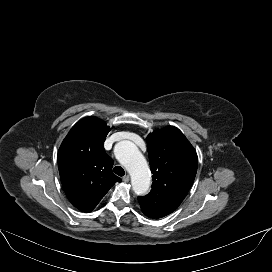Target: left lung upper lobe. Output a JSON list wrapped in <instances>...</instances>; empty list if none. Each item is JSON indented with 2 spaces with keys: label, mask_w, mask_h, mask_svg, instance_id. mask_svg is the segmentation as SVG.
<instances>
[{
  "label": "left lung upper lobe",
  "mask_w": 272,
  "mask_h": 272,
  "mask_svg": "<svg viewBox=\"0 0 272 272\" xmlns=\"http://www.w3.org/2000/svg\"><path fill=\"white\" fill-rule=\"evenodd\" d=\"M152 190L138 197L142 212L161 218L175 211L191 188L197 172L195 149L176 127L168 126L147 137Z\"/></svg>",
  "instance_id": "obj_1"
}]
</instances>
